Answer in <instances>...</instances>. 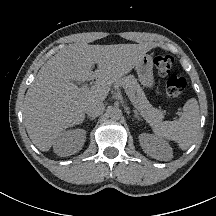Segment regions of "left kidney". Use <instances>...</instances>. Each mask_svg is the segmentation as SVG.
<instances>
[{
  "label": "left kidney",
  "instance_id": "obj_1",
  "mask_svg": "<svg viewBox=\"0 0 216 216\" xmlns=\"http://www.w3.org/2000/svg\"><path fill=\"white\" fill-rule=\"evenodd\" d=\"M139 142L143 151L154 159L168 161L172 158V148L158 136L152 134H140Z\"/></svg>",
  "mask_w": 216,
  "mask_h": 216
}]
</instances>
